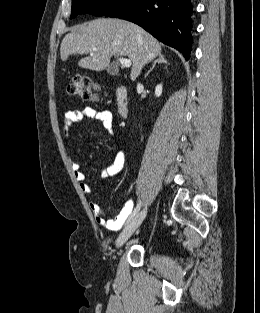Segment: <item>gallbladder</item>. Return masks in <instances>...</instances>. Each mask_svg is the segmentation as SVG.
Instances as JSON below:
<instances>
[{"mask_svg": "<svg viewBox=\"0 0 260 313\" xmlns=\"http://www.w3.org/2000/svg\"><path fill=\"white\" fill-rule=\"evenodd\" d=\"M107 72H108V74L115 76L118 73V69L115 65L112 64L108 67Z\"/></svg>", "mask_w": 260, "mask_h": 313, "instance_id": "obj_1", "label": "gallbladder"}]
</instances>
